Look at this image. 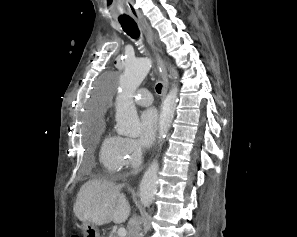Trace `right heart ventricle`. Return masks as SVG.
Masks as SVG:
<instances>
[{
	"label": "right heart ventricle",
	"mask_w": 297,
	"mask_h": 237,
	"mask_svg": "<svg viewBox=\"0 0 297 237\" xmlns=\"http://www.w3.org/2000/svg\"><path fill=\"white\" fill-rule=\"evenodd\" d=\"M124 138L119 135L107 134L100 146V161L102 165L112 174L125 168L123 163Z\"/></svg>",
	"instance_id": "1"
}]
</instances>
